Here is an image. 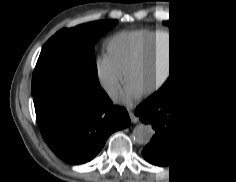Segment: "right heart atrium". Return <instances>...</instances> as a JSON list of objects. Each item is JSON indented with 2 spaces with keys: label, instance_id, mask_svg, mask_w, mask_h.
Wrapping results in <instances>:
<instances>
[{
  "label": "right heart atrium",
  "instance_id": "obj_1",
  "mask_svg": "<svg viewBox=\"0 0 236 182\" xmlns=\"http://www.w3.org/2000/svg\"><path fill=\"white\" fill-rule=\"evenodd\" d=\"M99 79L108 92L114 93L121 85L122 73L107 59H103L99 62Z\"/></svg>",
  "mask_w": 236,
  "mask_h": 182
}]
</instances>
